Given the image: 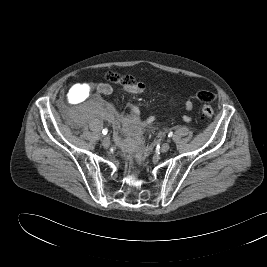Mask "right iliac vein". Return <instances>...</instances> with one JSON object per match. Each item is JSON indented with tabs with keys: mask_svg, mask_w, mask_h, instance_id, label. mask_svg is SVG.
I'll return each mask as SVG.
<instances>
[{
	"mask_svg": "<svg viewBox=\"0 0 267 267\" xmlns=\"http://www.w3.org/2000/svg\"><path fill=\"white\" fill-rule=\"evenodd\" d=\"M102 145L104 147H106V148L109 147V145H110V138L108 136H106V137L103 138Z\"/></svg>",
	"mask_w": 267,
	"mask_h": 267,
	"instance_id": "right-iliac-vein-1",
	"label": "right iliac vein"
}]
</instances>
